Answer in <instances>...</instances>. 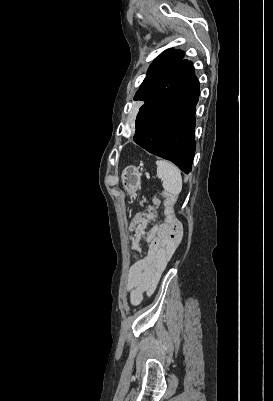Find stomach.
<instances>
[{
  "label": "stomach",
  "instance_id": "0dacf381",
  "mask_svg": "<svg viewBox=\"0 0 273 401\" xmlns=\"http://www.w3.org/2000/svg\"><path fill=\"white\" fill-rule=\"evenodd\" d=\"M142 172L139 170V166H126L121 174L122 184L128 192L129 196H136V190H139L141 186Z\"/></svg>",
  "mask_w": 273,
  "mask_h": 401
}]
</instances>
